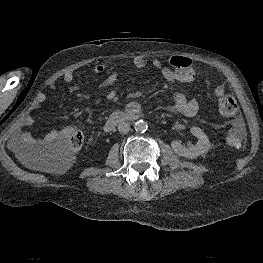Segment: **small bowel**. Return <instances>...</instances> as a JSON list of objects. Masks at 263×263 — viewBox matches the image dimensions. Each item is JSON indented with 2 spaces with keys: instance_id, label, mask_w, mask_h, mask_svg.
<instances>
[{
  "instance_id": "small-bowel-1",
  "label": "small bowel",
  "mask_w": 263,
  "mask_h": 263,
  "mask_svg": "<svg viewBox=\"0 0 263 263\" xmlns=\"http://www.w3.org/2000/svg\"><path fill=\"white\" fill-rule=\"evenodd\" d=\"M147 66V61L142 57H136L132 61V67L135 70H142ZM151 67L159 74L161 77L169 81L177 80L173 70L169 65V61L165 62L162 60L155 59L151 62ZM93 72L95 74H101L104 71V66L102 64H96L93 67ZM118 79V73L112 72L104 80L102 87L108 88L113 85ZM73 80V76L70 73L65 74L62 77V83L64 85H69ZM50 88L53 85L49 86ZM75 96L82 100H87V96L79 89L73 87L71 89ZM47 93H40L38 95V103L46 99ZM164 111L170 114L184 115V116H194L198 111V103L195 100H188L184 94V91L180 89L172 95V101L164 107ZM32 124L31 117H25L21 123V131L19 135V140L21 143L26 145L32 150L42 151L43 149H56L64 144L68 136L73 130L72 127H62L52 129L45 137L33 136L27 131V128ZM239 125V124H238Z\"/></svg>"
}]
</instances>
